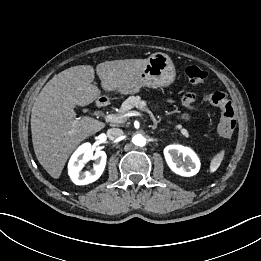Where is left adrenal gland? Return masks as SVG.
Instances as JSON below:
<instances>
[{"mask_svg":"<svg viewBox=\"0 0 261 261\" xmlns=\"http://www.w3.org/2000/svg\"><path fill=\"white\" fill-rule=\"evenodd\" d=\"M165 129H161L160 131H164Z\"/></svg>","mask_w":261,"mask_h":261,"instance_id":"a2214340","label":"left adrenal gland"}]
</instances>
